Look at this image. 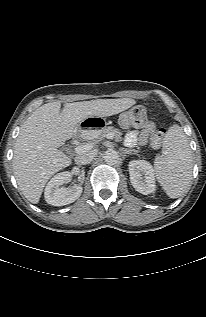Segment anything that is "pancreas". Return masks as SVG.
<instances>
[{"label": "pancreas", "instance_id": "cf45deb5", "mask_svg": "<svg viewBox=\"0 0 206 317\" xmlns=\"http://www.w3.org/2000/svg\"><path fill=\"white\" fill-rule=\"evenodd\" d=\"M99 133V137L95 139L96 142L100 141L103 137H106L108 134H112L116 141L122 140V132L119 129L114 128L113 126L106 127L100 130Z\"/></svg>", "mask_w": 206, "mask_h": 317}]
</instances>
